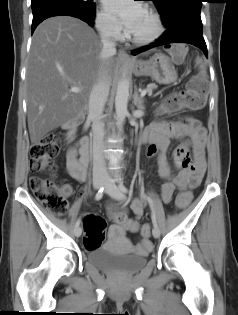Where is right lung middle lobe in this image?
<instances>
[{
	"instance_id": "obj_1",
	"label": "right lung middle lobe",
	"mask_w": 238,
	"mask_h": 315,
	"mask_svg": "<svg viewBox=\"0 0 238 315\" xmlns=\"http://www.w3.org/2000/svg\"><path fill=\"white\" fill-rule=\"evenodd\" d=\"M34 1H39V0H31V2H34ZM63 1L72 3V4H75V5L81 6V7L86 8V9H90V10L96 8L93 0H63Z\"/></svg>"
}]
</instances>
